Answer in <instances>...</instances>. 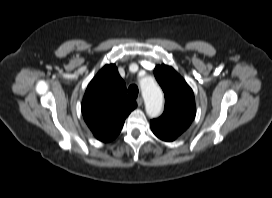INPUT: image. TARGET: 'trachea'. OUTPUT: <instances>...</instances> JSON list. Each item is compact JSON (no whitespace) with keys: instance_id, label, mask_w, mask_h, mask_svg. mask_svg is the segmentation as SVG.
I'll list each match as a JSON object with an SVG mask.
<instances>
[{"instance_id":"trachea-1","label":"trachea","mask_w":272,"mask_h":198,"mask_svg":"<svg viewBox=\"0 0 272 198\" xmlns=\"http://www.w3.org/2000/svg\"><path fill=\"white\" fill-rule=\"evenodd\" d=\"M138 92H139V90H138V87L136 85L129 86V88H128V94H129V96L131 98H134V99L137 98Z\"/></svg>"}]
</instances>
